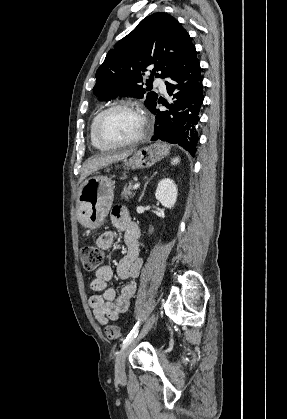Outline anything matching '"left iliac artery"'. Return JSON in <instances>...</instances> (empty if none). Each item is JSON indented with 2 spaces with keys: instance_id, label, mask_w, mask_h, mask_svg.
Masks as SVG:
<instances>
[{
  "instance_id": "left-iliac-artery-1",
  "label": "left iliac artery",
  "mask_w": 287,
  "mask_h": 419,
  "mask_svg": "<svg viewBox=\"0 0 287 419\" xmlns=\"http://www.w3.org/2000/svg\"><path fill=\"white\" fill-rule=\"evenodd\" d=\"M138 327H139V321L134 326L133 330L129 333V335L126 337V339L123 341L121 347L122 349L125 348L127 345H129L134 338L138 335Z\"/></svg>"
}]
</instances>
